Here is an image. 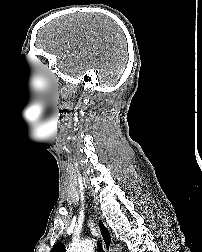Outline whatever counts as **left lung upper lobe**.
<instances>
[{"label":"left lung upper lobe","mask_w":202,"mask_h":252,"mask_svg":"<svg viewBox=\"0 0 202 252\" xmlns=\"http://www.w3.org/2000/svg\"><path fill=\"white\" fill-rule=\"evenodd\" d=\"M51 252H64V247L59 243L52 248Z\"/></svg>","instance_id":"obj_1"}]
</instances>
